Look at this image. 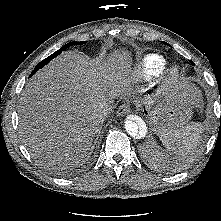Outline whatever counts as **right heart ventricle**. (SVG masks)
<instances>
[{
  "label": "right heart ventricle",
  "mask_w": 221,
  "mask_h": 221,
  "mask_svg": "<svg viewBox=\"0 0 221 221\" xmlns=\"http://www.w3.org/2000/svg\"><path fill=\"white\" fill-rule=\"evenodd\" d=\"M168 62L159 54L143 56L131 73V80L135 83L149 82L159 77L166 69Z\"/></svg>",
  "instance_id": "1"
}]
</instances>
